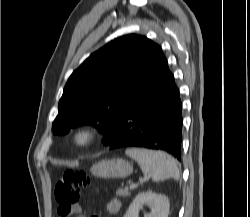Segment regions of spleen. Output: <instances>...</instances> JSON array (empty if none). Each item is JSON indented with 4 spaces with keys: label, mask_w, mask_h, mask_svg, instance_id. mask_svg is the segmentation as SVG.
<instances>
[{
    "label": "spleen",
    "mask_w": 250,
    "mask_h": 217,
    "mask_svg": "<svg viewBox=\"0 0 250 217\" xmlns=\"http://www.w3.org/2000/svg\"><path fill=\"white\" fill-rule=\"evenodd\" d=\"M125 153L138 162L144 173L151 174L154 182L169 178L178 180L180 177L176 160L165 152L144 148H128Z\"/></svg>",
    "instance_id": "3e777b00"
}]
</instances>
